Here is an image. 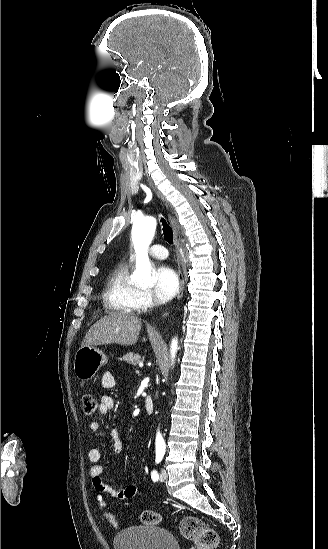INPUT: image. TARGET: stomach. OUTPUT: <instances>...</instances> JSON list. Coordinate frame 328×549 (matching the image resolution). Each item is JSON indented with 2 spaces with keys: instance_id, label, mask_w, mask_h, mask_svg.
<instances>
[{
  "instance_id": "1",
  "label": "stomach",
  "mask_w": 328,
  "mask_h": 549,
  "mask_svg": "<svg viewBox=\"0 0 328 549\" xmlns=\"http://www.w3.org/2000/svg\"><path fill=\"white\" fill-rule=\"evenodd\" d=\"M108 363V357L95 347H80L74 359V373L80 381H90L100 367Z\"/></svg>"
}]
</instances>
